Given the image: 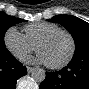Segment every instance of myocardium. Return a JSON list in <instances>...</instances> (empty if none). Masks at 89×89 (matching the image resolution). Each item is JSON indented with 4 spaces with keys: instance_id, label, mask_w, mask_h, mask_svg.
<instances>
[{
    "instance_id": "obj_1",
    "label": "myocardium",
    "mask_w": 89,
    "mask_h": 89,
    "mask_svg": "<svg viewBox=\"0 0 89 89\" xmlns=\"http://www.w3.org/2000/svg\"><path fill=\"white\" fill-rule=\"evenodd\" d=\"M58 34H65L69 38L70 43H71V48H70V52L65 60H63L62 62H60L58 64H47V66L52 69H61V68H64L65 66H67L72 61V59L75 55V52H76V41L74 39V36L65 29H57V30H54V31H51V32L45 34L37 42V44L35 46L36 51L37 52L39 51V47L41 44L49 41L51 38H53L54 36H56Z\"/></svg>"
}]
</instances>
